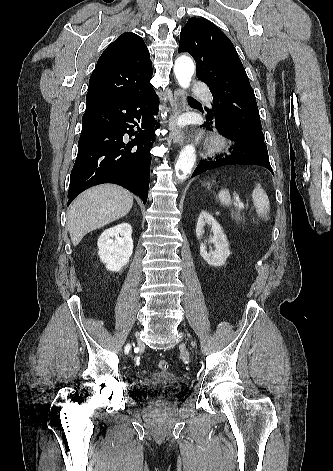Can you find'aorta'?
<instances>
[{
  "label": "aorta",
  "mask_w": 333,
  "mask_h": 471,
  "mask_svg": "<svg viewBox=\"0 0 333 471\" xmlns=\"http://www.w3.org/2000/svg\"><path fill=\"white\" fill-rule=\"evenodd\" d=\"M195 66L191 58L179 57L175 61L174 73L182 88H188L191 77L194 75ZM196 161V151L193 145H186L180 152L179 158L175 164L176 175L180 180H185L191 172ZM179 171L182 174H179Z\"/></svg>",
  "instance_id": "1"
}]
</instances>
